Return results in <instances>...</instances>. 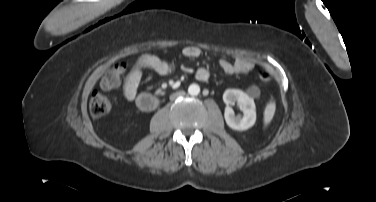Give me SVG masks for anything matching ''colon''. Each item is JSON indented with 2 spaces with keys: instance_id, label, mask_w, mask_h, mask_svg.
Segmentation results:
<instances>
[{
  "instance_id": "obj_1",
  "label": "colon",
  "mask_w": 376,
  "mask_h": 202,
  "mask_svg": "<svg viewBox=\"0 0 376 202\" xmlns=\"http://www.w3.org/2000/svg\"><path fill=\"white\" fill-rule=\"evenodd\" d=\"M125 66L123 64H117L111 69L107 70L101 78L100 87L103 90H112L120 85V77L124 72ZM259 80L263 84H268L271 81V75L268 71L262 70L259 73ZM109 99L99 93H92L89 100V110L93 117L99 118L105 115L110 109Z\"/></svg>"
}]
</instances>
